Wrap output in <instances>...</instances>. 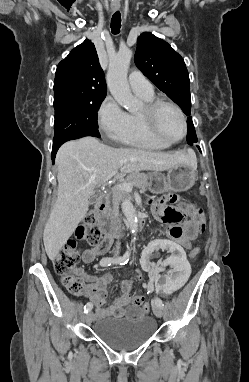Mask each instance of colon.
Returning a JSON list of instances; mask_svg holds the SVG:
<instances>
[{"instance_id": "colon-1", "label": "colon", "mask_w": 249, "mask_h": 382, "mask_svg": "<svg viewBox=\"0 0 249 382\" xmlns=\"http://www.w3.org/2000/svg\"><path fill=\"white\" fill-rule=\"evenodd\" d=\"M187 212L199 224L200 230L203 231L206 223L204 212L193 205L187 206ZM167 215L170 216L169 212ZM77 237L91 245H98L103 242V234L98 225L97 215L94 212H90L84 217L83 224L78 229ZM199 252L200 249L195 247L190 251L189 255L195 258ZM78 262L79 252L77 250L76 240H69L53 258L55 272L62 277L65 288L75 296H79L85 291L83 281L74 274ZM134 305L148 310V304L145 302L143 295H138L134 298Z\"/></svg>"}]
</instances>
